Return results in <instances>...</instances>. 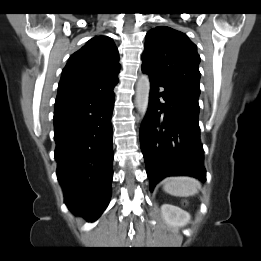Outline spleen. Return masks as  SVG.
<instances>
[{
    "instance_id": "obj_1",
    "label": "spleen",
    "mask_w": 261,
    "mask_h": 261,
    "mask_svg": "<svg viewBox=\"0 0 261 261\" xmlns=\"http://www.w3.org/2000/svg\"><path fill=\"white\" fill-rule=\"evenodd\" d=\"M201 184L195 178L188 176H175L166 178L163 182L165 192L180 197H188L199 192Z\"/></svg>"
}]
</instances>
